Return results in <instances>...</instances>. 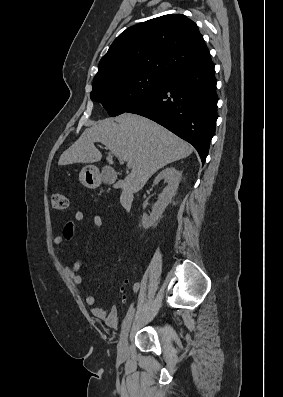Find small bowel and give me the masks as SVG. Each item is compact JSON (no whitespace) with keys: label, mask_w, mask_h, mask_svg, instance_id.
I'll return each mask as SVG.
<instances>
[{"label":"small bowel","mask_w":283,"mask_h":397,"mask_svg":"<svg viewBox=\"0 0 283 397\" xmlns=\"http://www.w3.org/2000/svg\"><path fill=\"white\" fill-rule=\"evenodd\" d=\"M87 213L85 211H77L74 215V220H69L65 223L63 227L62 234L54 238V245L56 250L60 253L62 248L70 243L75 235L76 222H82L86 219ZM93 224L97 228H102L104 225V220L101 215L95 214L92 218ZM82 262L76 261L70 266L65 267V272L67 276L76 284L81 285L84 282L83 276L80 274L82 269ZM128 283L126 280L124 286L121 288L122 293L125 295V286ZM86 304L91 307V313L94 317L103 320L106 325L112 328H117L119 326V321L117 317V309L113 305L107 309H104L97 305L96 298L93 295H88L85 299Z\"/></svg>","instance_id":"c3829d8e"}]
</instances>
